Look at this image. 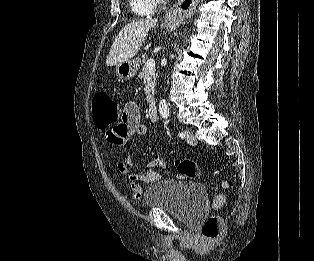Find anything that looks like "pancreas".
<instances>
[{"instance_id": "cf45deb5", "label": "pancreas", "mask_w": 314, "mask_h": 261, "mask_svg": "<svg viewBox=\"0 0 314 261\" xmlns=\"http://www.w3.org/2000/svg\"><path fill=\"white\" fill-rule=\"evenodd\" d=\"M138 77L144 83L146 101L148 103H154L156 71L154 69L149 70L144 66L141 69Z\"/></svg>"}]
</instances>
